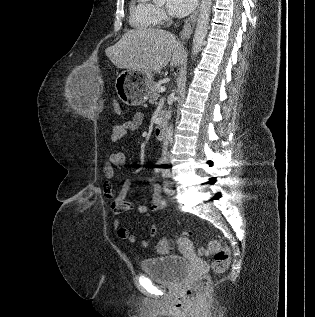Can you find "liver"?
<instances>
[{"mask_svg":"<svg viewBox=\"0 0 315 317\" xmlns=\"http://www.w3.org/2000/svg\"><path fill=\"white\" fill-rule=\"evenodd\" d=\"M105 54L116 67L142 73L159 72L168 63L177 67L186 57L183 44L173 33L154 28L126 32Z\"/></svg>","mask_w":315,"mask_h":317,"instance_id":"6515ba94","label":"liver"}]
</instances>
